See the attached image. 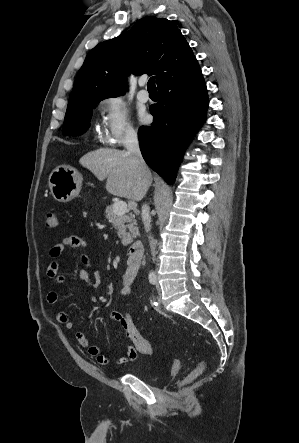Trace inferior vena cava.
<instances>
[{
	"label": "inferior vena cava",
	"mask_w": 299,
	"mask_h": 443,
	"mask_svg": "<svg viewBox=\"0 0 299 443\" xmlns=\"http://www.w3.org/2000/svg\"><path fill=\"white\" fill-rule=\"evenodd\" d=\"M124 144H125V148L127 149V154L130 155L132 157L133 163L134 165L137 167V169L143 173V171L145 170V162L142 158L141 152H140V148H139V142H138V138H137V134L134 130L129 129L126 131L125 133V139H124ZM148 186L145 185L144 186V190H147ZM142 217H143V222H144V227L146 232H148L150 230V222H151V218L149 216V207L144 204L142 206ZM150 240V246L152 249V254L153 256H155V241L151 238V236H149Z\"/></svg>",
	"instance_id": "1"
}]
</instances>
